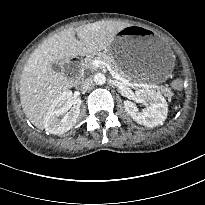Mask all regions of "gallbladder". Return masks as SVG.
<instances>
[{
  "instance_id": "obj_1",
  "label": "gallbladder",
  "mask_w": 205,
  "mask_h": 205,
  "mask_svg": "<svg viewBox=\"0 0 205 205\" xmlns=\"http://www.w3.org/2000/svg\"><path fill=\"white\" fill-rule=\"evenodd\" d=\"M65 62H66L65 59L59 60L53 63L51 67L55 72H58V73L63 72L66 74V76L72 77L73 73L71 69L69 68V66L65 64Z\"/></svg>"
}]
</instances>
